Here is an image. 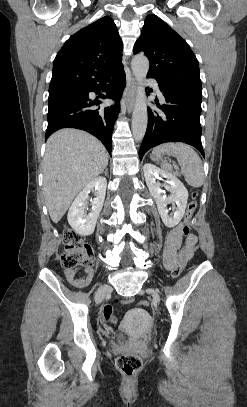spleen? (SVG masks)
I'll return each mask as SVG.
<instances>
[{
	"label": "spleen",
	"instance_id": "spleen-1",
	"mask_svg": "<svg viewBox=\"0 0 247 407\" xmlns=\"http://www.w3.org/2000/svg\"><path fill=\"white\" fill-rule=\"evenodd\" d=\"M160 153H173L177 157L181 173L188 185L193 188H200L203 185L204 170L202 161L192 147L184 143L169 142L153 149V154ZM161 166L167 171H172V166L167 162H163Z\"/></svg>",
	"mask_w": 247,
	"mask_h": 407
}]
</instances>
